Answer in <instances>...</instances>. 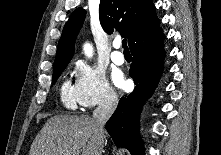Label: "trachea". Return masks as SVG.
<instances>
[{"label":"trachea","mask_w":221,"mask_h":155,"mask_svg":"<svg viewBox=\"0 0 221 155\" xmlns=\"http://www.w3.org/2000/svg\"><path fill=\"white\" fill-rule=\"evenodd\" d=\"M122 47H123V49H124V52H129L126 39H123V40H122Z\"/></svg>","instance_id":"3493384b"}]
</instances>
